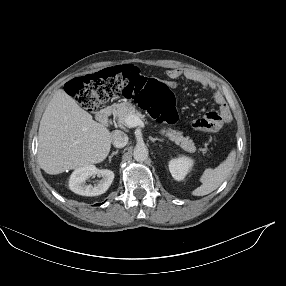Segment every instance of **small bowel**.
I'll return each mask as SVG.
<instances>
[{
    "label": "small bowel",
    "instance_id": "1",
    "mask_svg": "<svg viewBox=\"0 0 286 286\" xmlns=\"http://www.w3.org/2000/svg\"><path fill=\"white\" fill-rule=\"evenodd\" d=\"M166 75L171 85H175L176 80L184 78L189 81L198 83L203 89L215 90V86L206 77L194 70L173 68L168 70ZM213 100L218 106V111H216V113L220 116L222 122H228L231 119V114L222 93L215 90L213 94Z\"/></svg>",
    "mask_w": 286,
    "mask_h": 286
}]
</instances>
